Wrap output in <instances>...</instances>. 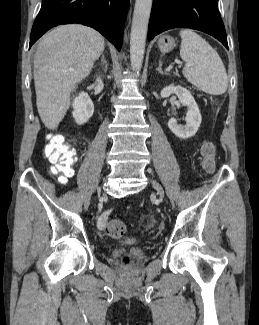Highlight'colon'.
I'll return each mask as SVG.
<instances>
[{"mask_svg":"<svg viewBox=\"0 0 259 325\" xmlns=\"http://www.w3.org/2000/svg\"><path fill=\"white\" fill-rule=\"evenodd\" d=\"M45 154L52 164V172L58 174L61 183L66 182L74 173L77 164L76 151L73 146L62 136H51L45 149ZM202 165L204 169L211 173L215 168L216 150L211 142L205 143L201 148ZM106 233L112 238H120L125 234L126 226L119 219H107L104 226ZM125 265L131 264L128 255L122 257Z\"/></svg>","mask_w":259,"mask_h":325,"instance_id":"1","label":"colon"}]
</instances>
